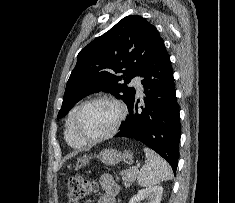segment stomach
Returning a JSON list of instances; mask_svg holds the SVG:
<instances>
[{"label":"stomach","instance_id":"1","mask_svg":"<svg viewBox=\"0 0 235 203\" xmlns=\"http://www.w3.org/2000/svg\"><path fill=\"white\" fill-rule=\"evenodd\" d=\"M99 158L104 164L115 165L121 160H131L133 158V154L130 151L121 153L116 149L108 148L100 152ZM79 162L82 165H86L89 163V157L85 155L79 159Z\"/></svg>","mask_w":235,"mask_h":203}]
</instances>
